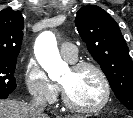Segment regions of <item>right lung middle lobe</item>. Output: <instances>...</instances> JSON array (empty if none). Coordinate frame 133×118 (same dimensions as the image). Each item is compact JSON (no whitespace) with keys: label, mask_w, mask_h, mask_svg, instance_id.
Here are the masks:
<instances>
[{"label":"right lung middle lobe","mask_w":133,"mask_h":118,"mask_svg":"<svg viewBox=\"0 0 133 118\" xmlns=\"http://www.w3.org/2000/svg\"><path fill=\"white\" fill-rule=\"evenodd\" d=\"M17 59L0 58V97L8 96L16 88L14 71Z\"/></svg>","instance_id":"obj_1"}]
</instances>
